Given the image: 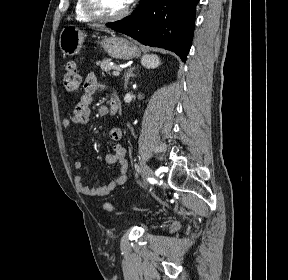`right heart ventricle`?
I'll use <instances>...</instances> for the list:
<instances>
[{
	"label": "right heart ventricle",
	"instance_id": "right-heart-ventricle-1",
	"mask_svg": "<svg viewBox=\"0 0 288 280\" xmlns=\"http://www.w3.org/2000/svg\"><path fill=\"white\" fill-rule=\"evenodd\" d=\"M75 18L82 22H92L94 19L86 14L83 8L82 0H76L74 5Z\"/></svg>",
	"mask_w": 288,
	"mask_h": 280
}]
</instances>
